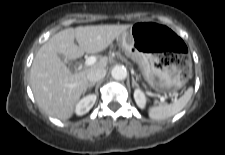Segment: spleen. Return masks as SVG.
I'll use <instances>...</instances> for the list:
<instances>
[{
	"label": "spleen",
	"instance_id": "3e777b00",
	"mask_svg": "<svg viewBox=\"0 0 225 155\" xmlns=\"http://www.w3.org/2000/svg\"><path fill=\"white\" fill-rule=\"evenodd\" d=\"M193 89L189 88L183 96L171 104L152 106L149 109V117L152 120H164L179 113L191 99Z\"/></svg>",
	"mask_w": 225,
	"mask_h": 155
}]
</instances>
